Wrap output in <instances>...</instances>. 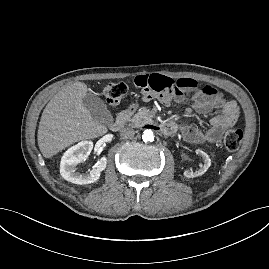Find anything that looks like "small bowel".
Masks as SVG:
<instances>
[{"label":"small bowel","mask_w":269,"mask_h":269,"mask_svg":"<svg viewBox=\"0 0 269 269\" xmlns=\"http://www.w3.org/2000/svg\"><path fill=\"white\" fill-rule=\"evenodd\" d=\"M142 82V96L145 100L156 98L165 104H172L174 99L189 106L200 114H208L213 109H220L221 113L210 120V126L206 129L183 125L179 131L183 139L194 144H215L223 132L233 126L239 117V108L234 101L226 100L223 95L209 85H202L191 78H168L162 74L138 76L135 84ZM139 87V86H138ZM200 88L191 99L186 94ZM173 132L178 127L173 122Z\"/></svg>","instance_id":"c3829d8e"}]
</instances>
